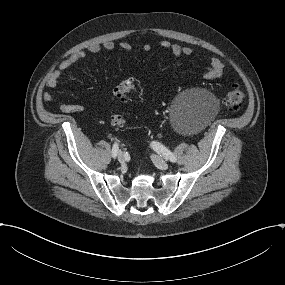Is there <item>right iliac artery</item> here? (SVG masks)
Returning <instances> with one entry per match:
<instances>
[{
  "label": "right iliac artery",
  "mask_w": 285,
  "mask_h": 285,
  "mask_svg": "<svg viewBox=\"0 0 285 285\" xmlns=\"http://www.w3.org/2000/svg\"><path fill=\"white\" fill-rule=\"evenodd\" d=\"M118 152H119V146L117 143H115L112 147V157L114 159L117 157Z\"/></svg>",
  "instance_id": "82829eb1"
}]
</instances>
